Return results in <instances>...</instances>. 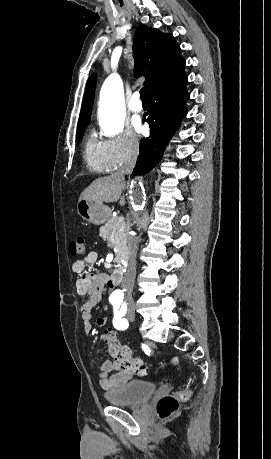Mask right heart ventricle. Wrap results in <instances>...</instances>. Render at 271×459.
I'll return each instance as SVG.
<instances>
[{"label":"right heart ventricle","mask_w":271,"mask_h":459,"mask_svg":"<svg viewBox=\"0 0 271 459\" xmlns=\"http://www.w3.org/2000/svg\"><path fill=\"white\" fill-rule=\"evenodd\" d=\"M83 158L86 167L91 171L107 172L113 169L103 144L97 142L91 133L87 135L84 143Z\"/></svg>","instance_id":"e07e8e85"}]
</instances>
